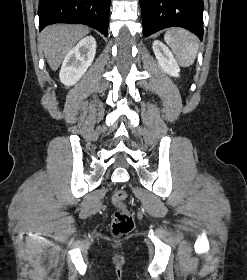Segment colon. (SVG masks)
Here are the masks:
<instances>
[{
	"mask_svg": "<svg viewBox=\"0 0 247 280\" xmlns=\"http://www.w3.org/2000/svg\"><path fill=\"white\" fill-rule=\"evenodd\" d=\"M127 192L118 189L114 192L112 201L117 210L115 211L111 224V231L114 235L120 236L129 233L134 227L132 212L126 206Z\"/></svg>",
	"mask_w": 247,
	"mask_h": 280,
	"instance_id": "1",
	"label": "colon"
}]
</instances>
